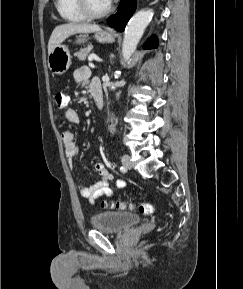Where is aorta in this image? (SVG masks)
I'll use <instances>...</instances> for the list:
<instances>
[{"instance_id": "1", "label": "aorta", "mask_w": 243, "mask_h": 289, "mask_svg": "<svg viewBox=\"0 0 243 289\" xmlns=\"http://www.w3.org/2000/svg\"><path fill=\"white\" fill-rule=\"evenodd\" d=\"M153 17L151 9L137 12L129 21L123 38L122 54L124 60H128L136 50V47Z\"/></svg>"}]
</instances>
